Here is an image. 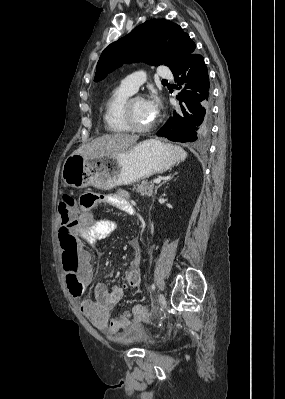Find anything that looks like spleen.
Wrapping results in <instances>:
<instances>
[{"label": "spleen", "mask_w": 285, "mask_h": 399, "mask_svg": "<svg viewBox=\"0 0 285 399\" xmlns=\"http://www.w3.org/2000/svg\"><path fill=\"white\" fill-rule=\"evenodd\" d=\"M173 148H174V150H175L177 159H178L179 161H184V160L186 159V157H187V152L184 151V150H183L181 147H179V146H175V147H173Z\"/></svg>", "instance_id": "spleen-1"}]
</instances>
